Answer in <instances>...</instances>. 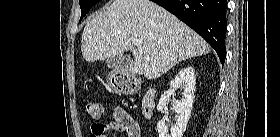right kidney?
<instances>
[{
  "mask_svg": "<svg viewBox=\"0 0 280 137\" xmlns=\"http://www.w3.org/2000/svg\"><path fill=\"white\" fill-rule=\"evenodd\" d=\"M195 72L192 67L182 69L169 84V89L159 100L157 110L163 111V108L169 102L175 90L181 86L184 89L182 98L177 101L173 100V110L177 114L175 125L171 128V135L168 134V129L165 121L161 120L157 123L159 137H183L187 123L190 119L192 104L195 92Z\"/></svg>",
  "mask_w": 280,
  "mask_h": 137,
  "instance_id": "ca27d5eb",
  "label": "right kidney"
}]
</instances>
